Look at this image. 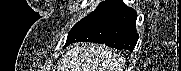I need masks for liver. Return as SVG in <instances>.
Instances as JSON below:
<instances>
[{
  "label": "liver",
  "instance_id": "liver-1",
  "mask_svg": "<svg viewBox=\"0 0 181 71\" xmlns=\"http://www.w3.org/2000/svg\"><path fill=\"white\" fill-rule=\"evenodd\" d=\"M124 59L95 44H77L62 57L58 71H122Z\"/></svg>",
  "mask_w": 181,
  "mask_h": 71
}]
</instances>
